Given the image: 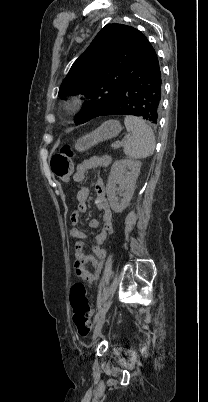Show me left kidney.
<instances>
[{
  "label": "left kidney",
  "instance_id": "5707ae66",
  "mask_svg": "<svg viewBox=\"0 0 208 402\" xmlns=\"http://www.w3.org/2000/svg\"><path fill=\"white\" fill-rule=\"evenodd\" d=\"M141 166L138 160H117L112 164L106 192L110 208L115 214H120L129 206ZM116 184H119V188H116ZM117 194L122 196L120 202Z\"/></svg>",
  "mask_w": 208,
  "mask_h": 402
}]
</instances>
